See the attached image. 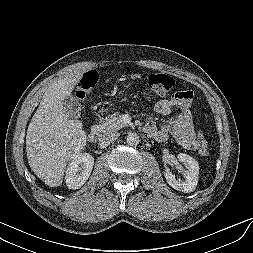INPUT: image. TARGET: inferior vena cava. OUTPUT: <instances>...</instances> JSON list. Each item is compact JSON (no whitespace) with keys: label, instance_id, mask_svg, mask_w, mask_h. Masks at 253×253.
<instances>
[{"label":"inferior vena cava","instance_id":"obj_1","mask_svg":"<svg viewBox=\"0 0 253 253\" xmlns=\"http://www.w3.org/2000/svg\"><path fill=\"white\" fill-rule=\"evenodd\" d=\"M118 136H119L118 133H111V134L103 135L99 139V141L102 145H109L110 143L115 141Z\"/></svg>","mask_w":253,"mask_h":253}]
</instances>
